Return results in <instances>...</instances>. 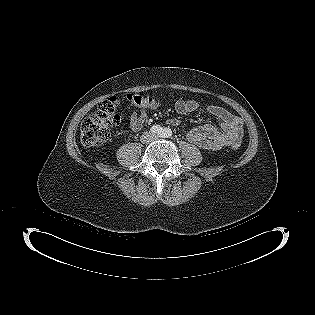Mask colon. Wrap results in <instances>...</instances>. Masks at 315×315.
Segmentation results:
<instances>
[{
	"label": "colon",
	"mask_w": 315,
	"mask_h": 315,
	"mask_svg": "<svg viewBox=\"0 0 315 315\" xmlns=\"http://www.w3.org/2000/svg\"><path fill=\"white\" fill-rule=\"evenodd\" d=\"M126 99L139 107H149L159 103L158 99L150 95L128 94ZM119 99L111 97L102 102L98 109L91 114L81 125L80 141L86 148L93 147L109 139L111 129L118 125L123 115L118 112ZM238 149L239 144H233Z\"/></svg>",
	"instance_id": "1"
}]
</instances>
